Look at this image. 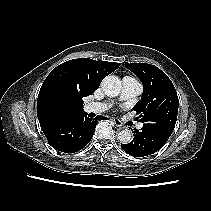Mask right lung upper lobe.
Here are the masks:
<instances>
[{
    "instance_id": "cb5924a9",
    "label": "right lung upper lobe",
    "mask_w": 211,
    "mask_h": 211,
    "mask_svg": "<svg viewBox=\"0 0 211 211\" xmlns=\"http://www.w3.org/2000/svg\"><path fill=\"white\" fill-rule=\"evenodd\" d=\"M120 63L88 58L69 60L54 68L39 91L37 116L43 127L67 112H83V98L93 94L104 77Z\"/></svg>"
}]
</instances>
